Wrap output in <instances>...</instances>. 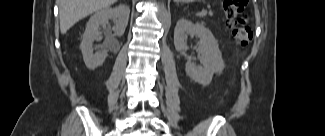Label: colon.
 <instances>
[{"mask_svg":"<svg viewBox=\"0 0 325 136\" xmlns=\"http://www.w3.org/2000/svg\"><path fill=\"white\" fill-rule=\"evenodd\" d=\"M248 0H224L223 8L227 16V25L232 32L235 42L239 46H247L253 37L248 25V17L244 8Z\"/></svg>","mask_w":325,"mask_h":136,"instance_id":"1","label":"colon"}]
</instances>
